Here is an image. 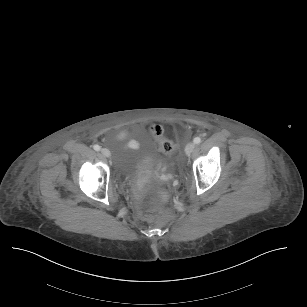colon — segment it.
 Returning a JSON list of instances; mask_svg holds the SVG:
<instances>
[{
	"mask_svg": "<svg viewBox=\"0 0 307 307\" xmlns=\"http://www.w3.org/2000/svg\"><path fill=\"white\" fill-rule=\"evenodd\" d=\"M151 130L158 138L160 148L163 152L170 153L175 150V143L164 136V131L160 125H154ZM151 194L154 197V202L158 206H165L169 202V194L161 184L154 185L151 189Z\"/></svg>",
	"mask_w": 307,
	"mask_h": 307,
	"instance_id": "1",
	"label": "colon"
}]
</instances>
